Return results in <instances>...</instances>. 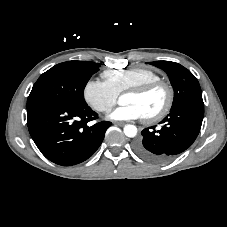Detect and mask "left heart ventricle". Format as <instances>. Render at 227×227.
Wrapping results in <instances>:
<instances>
[{
    "mask_svg": "<svg viewBox=\"0 0 227 227\" xmlns=\"http://www.w3.org/2000/svg\"><path fill=\"white\" fill-rule=\"evenodd\" d=\"M165 100L166 93L162 88L156 89L144 96L125 94L121 99L123 104L136 105L141 110L143 116L158 112L164 105Z\"/></svg>",
    "mask_w": 227,
    "mask_h": 227,
    "instance_id": "left-heart-ventricle-1",
    "label": "left heart ventricle"
}]
</instances>
